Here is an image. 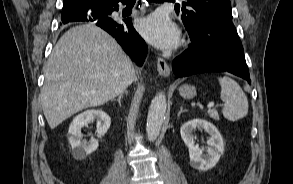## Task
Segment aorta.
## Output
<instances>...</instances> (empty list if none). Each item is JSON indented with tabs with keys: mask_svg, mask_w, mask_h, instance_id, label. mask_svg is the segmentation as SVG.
<instances>
[{
	"mask_svg": "<svg viewBox=\"0 0 293 184\" xmlns=\"http://www.w3.org/2000/svg\"><path fill=\"white\" fill-rule=\"evenodd\" d=\"M166 108V96L160 92L153 98L147 116L146 132L150 141L155 140L160 133L165 119Z\"/></svg>",
	"mask_w": 293,
	"mask_h": 184,
	"instance_id": "762f6f07",
	"label": "aorta"
}]
</instances>
